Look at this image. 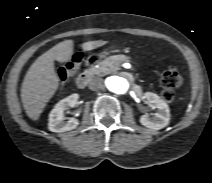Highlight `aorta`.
Returning a JSON list of instances; mask_svg holds the SVG:
<instances>
[{"label":"aorta","mask_w":212,"mask_h":183,"mask_svg":"<svg viewBox=\"0 0 212 183\" xmlns=\"http://www.w3.org/2000/svg\"><path fill=\"white\" fill-rule=\"evenodd\" d=\"M105 85L114 94L122 95L129 91L130 83L127 78L121 76H110L105 80Z\"/></svg>","instance_id":"1"}]
</instances>
